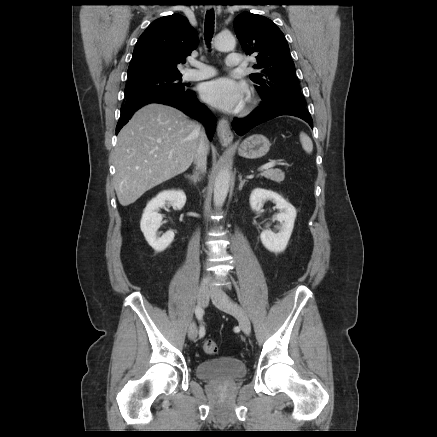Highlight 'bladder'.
Returning <instances> with one entry per match:
<instances>
[{
	"instance_id": "31cf9c89",
	"label": "bladder",
	"mask_w": 437,
	"mask_h": 437,
	"mask_svg": "<svg viewBox=\"0 0 437 437\" xmlns=\"http://www.w3.org/2000/svg\"><path fill=\"white\" fill-rule=\"evenodd\" d=\"M246 374L243 361L233 357H222L201 361L196 366V375L204 380H232Z\"/></svg>"
}]
</instances>
